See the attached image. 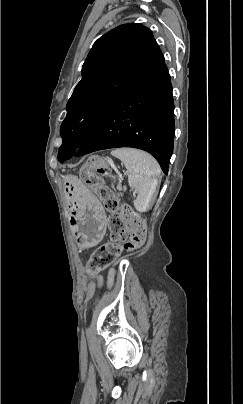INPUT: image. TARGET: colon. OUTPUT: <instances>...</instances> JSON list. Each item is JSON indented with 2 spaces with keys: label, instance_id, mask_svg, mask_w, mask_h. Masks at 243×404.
Returning a JSON list of instances; mask_svg holds the SVG:
<instances>
[{
  "label": "colon",
  "instance_id": "1",
  "mask_svg": "<svg viewBox=\"0 0 243 404\" xmlns=\"http://www.w3.org/2000/svg\"><path fill=\"white\" fill-rule=\"evenodd\" d=\"M103 168V160L93 157L81 170V178L98 196L109 212L110 241L101 245L90 257L88 262L89 273H96L112 263L122 250L139 248L146 237V226L143 218L127 206H123L120 210L118 194L106 186L99 176Z\"/></svg>",
  "mask_w": 243,
  "mask_h": 404
}]
</instances>
